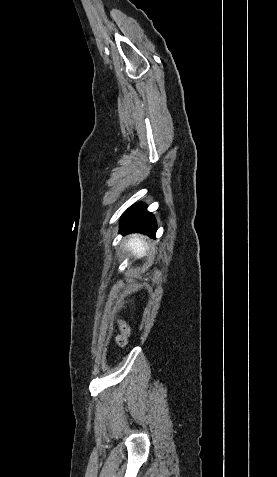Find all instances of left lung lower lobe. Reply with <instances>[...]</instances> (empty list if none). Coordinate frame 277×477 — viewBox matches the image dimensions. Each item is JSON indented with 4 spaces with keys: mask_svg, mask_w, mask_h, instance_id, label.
Masks as SVG:
<instances>
[{
    "mask_svg": "<svg viewBox=\"0 0 277 477\" xmlns=\"http://www.w3.org/2000/svg\"><path fill=\"white\" fill-rule=\"evenodd\" d=\"M156 230L154 216L147 211V206L143 203L132 205L121 217L120 232L123 234L139 232L155 238Z\"/></svg>",
    "mask_w": 277,
    "mask_h": 477,
    "instance_id": "1",
    "label": "left lung lower lobe"
}]
</instances>
